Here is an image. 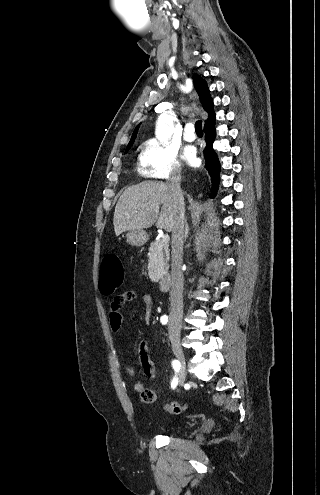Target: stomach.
<instances>
[{
    "mask_svg": "<svg viewBox=\"0 0 320 495\" xmlns=\"http://www.w3.org/2000/svg\"><path fill=\"white\" fill-rule=\"evenodd\" d=\"M126 238L130 245L142 246L148 240V235L143 229H131L127 231Z\"/></svg>",
    "mask_w": 320,
    "mask_h": 495,
    "instance_id": "stomach-1",
    "label": "stomach"
}]
</instances>
